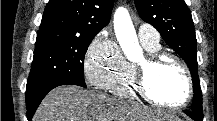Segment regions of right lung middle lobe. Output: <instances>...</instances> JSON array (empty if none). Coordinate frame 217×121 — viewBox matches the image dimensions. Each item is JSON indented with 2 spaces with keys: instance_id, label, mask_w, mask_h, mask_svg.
<instances>
[{
  "instance_id": "1",
  "label": "right lung middle lobe",
  "mask_w": 217,
  "mask_h": 121,
  "mask_svg": "<svg viewBox=\"0 0 217 121\" xmlns=\"http://www.w3.org/2000/svg\"><path fill=\"white\" fill-rule=\"evenodd\" d=\"M94 37L57 29L39 30L26 88L53 78H67L78 86L86 87L84 57Z\"/></svg>"
}]
</instances>
